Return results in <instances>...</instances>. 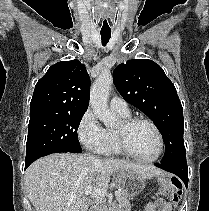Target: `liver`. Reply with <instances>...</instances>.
Returning <instances> with one entry per match:
<instances>
[{
  "label": "liver",
  "mask_w": 209,
  "mask_h": 211,
  "mask_svg": "<svg viewBox=\"0 0 209 211\" xmlns=\"http://www.w3.org/2000/svg\"><path fill=\"white\" fill-rule=\"evenodd\" d=\"M128 171L143 180L162 174L154 166L123 160H100L88 154L57 153L42 157L26 170L25 185L35 211H88L84 190L106 188L111 175Z\"/></svg>",
  "instance_id": "obj_1"
}]
</instances>
